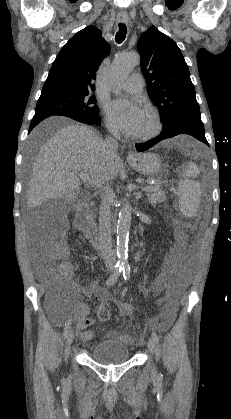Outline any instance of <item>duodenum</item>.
I'll use <instances>...</instances> for the list:
<instances>
[{
    "instance_id": "1",
    "label": "duodenum",
    "mask_w": 231,
    "mask_h": 419,
    "mask_svg": "<svg viewBox=\"0 0 231 419\" xmlns=\"http://www.w3.org/2000/svg\"><path fill=\"white\" fill-rule=\"evenodd\" d=\"M76 224L78 228L82 231L85 238L91 240L94 244L98 243L97 237V227L91 217L89 211V203L84 201L81 203L76 212Z\"/></svg>"
}]
</instances>
